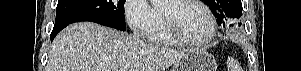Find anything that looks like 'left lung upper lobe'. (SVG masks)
I'll use <instances>...</instances> for the list:
<instances>
[{"label": "left lung upper lobe", "instance_id": "1", "mask_svg": "<svg viewBox=\"0 0 301 71\" xmlns=\"http://www.w3.org/2000/svg\"><path fill=\"white\" fill-rule=\"evenodd\" d=\"M205 2L212 8L219 25L222 22L224 24L223 19L231 18L238 20L241 17V0H205Z\"/></svg>", "mask_w": 301, "mask_h": 71}]
</instances>
